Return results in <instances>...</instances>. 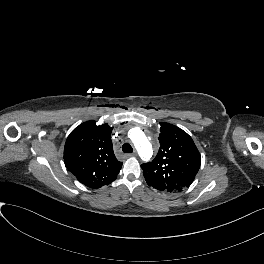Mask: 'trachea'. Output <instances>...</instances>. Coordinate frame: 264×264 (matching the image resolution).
Returning <instances> with one entry per match:
<instances>
[{
	"instance_id": "1",
	"label": "trachea",
	"mask_w": 264,
	"mask_h": 264,
	"mask_svg": "<svg viewBox=\"0 0 264 264\" xmlns=\"http://www.w3.org/2000/svg\"><path fill=\"white\" fill-rule=\"evenodd\" d=\"M122 150L124 153H132L133 152V148L129 143L123 144Z\"/></svg>"
}]
</instances>
